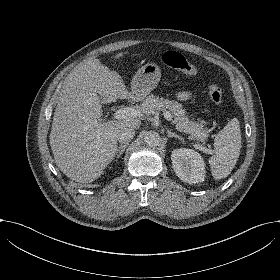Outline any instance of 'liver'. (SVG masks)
I'll list each match as a JSON object with an SVG mask.
<instances>
[{
    "instance_id": "liver-1",
    "label": "liver",
    "mask_w": 280,
    "mask_h": 280,
    "mask_svg": "<svg viewBox=\"0 0 280 280\" xmlns=\"http://www.w3.org/2000/svg\"><path fill=\"white\" fill-rule=\"evenodd\" d=\"M103 103L119 97L133 101L146 95L127 93L119 77L93 59L69 73L58 95L53 116L50 145L60 170L74 181L92 182L97 179L112 158L117 147V131L139 128L138 119H111L100 122Z\"/></svg>"
}]
</instances>
